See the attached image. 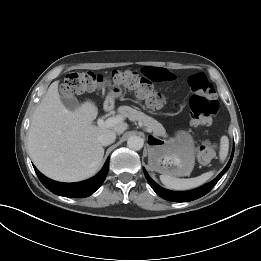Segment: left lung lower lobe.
Returning <instances> with one entry per match:
<instances>
[{
  "instance_id": "left-lung-lower-lobe-1",
  "label": "left lung lower lobe",
  "mask_w": 261,
  "mask_h": 261,
  "mask_svg": "<svg viewBox=\"0 0 261 261\" xmlns=\"http://www.w3.org/2000/svg\"><path fill=\"white\" fill-rule=\"evenodd\" d=\"M234 155V149L231 155V158L227 164V166L223 169V171L211 182H209L206 185H203L197 189L191 190V191H185V192H175V191H170L167 189H164L160 187L158 184H156L147 174L146 170H144L145 177L152 187V189L163 199L169 200V201H174V202H187V201H192L195 199H198L205 194H207L214 186L215 184L220 180V178L226 173V171L229 169L232 159Z\"/></svg>"
}]
</instances>
